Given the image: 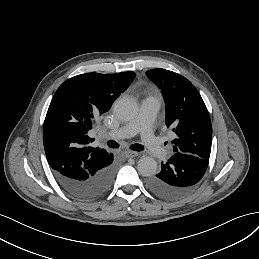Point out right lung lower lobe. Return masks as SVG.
Listing matches in <instances>:
<instances>
[{
    "label": "right lung lower lobe",
    "mask_w": 259,
    "mask_h": 259,
    "mask_svg": "<svg viewBox=\"0 0 259 259\" xmlns=\"http://www.w3.org/2000/svg\"><path fill=\"white\" fill-rule=\"evenodd\" d=\"M113 154L102 167L83 177H70L53 170L58 184L69 195L82 201L96 200L106 194L113 182L115 166L112 164Z\"/></svg>",
    "instance_id": "1"
}]
</instances>
